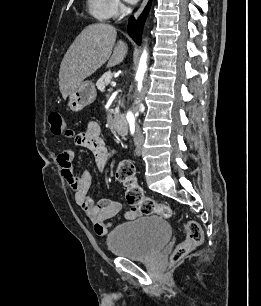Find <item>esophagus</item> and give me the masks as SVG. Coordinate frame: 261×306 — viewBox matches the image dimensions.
<instances>
[{"label":"esophagus","mask_w":261,"mask_h":306,"mask_svg":"<svg viewBox=\"0 0 261 306\" xmlns=\"http://www.w3.org/2000/svg\"><path fill=\"white\" fill-rule=\"evenodd\" d=\"M148 0H143L141 3V6L139 7V9L137 10V12L135 13V18L137 19L139 17V15L142 13V11L144 10L145 6L147 5Z\"/></svg>","instance_id":"esophagus-1"}]
</instances>
